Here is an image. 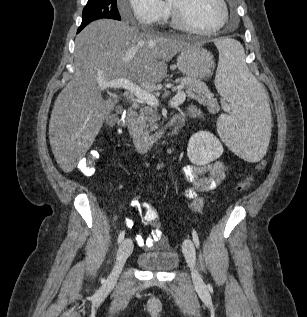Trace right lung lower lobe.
<instances>
[{
	"label": "right lung lower lobe",
	"instance_id": "1",
	"mask_svg": "<svg viewBox=\"0 0 307 317\" xmlns=\"http://www.w3.org/2000/svg\"><path fill=\"white\" fill-rule=\"evenodd\" d=\"M82 29H83L82 27H79L78 32H80Z\"/></svg>",
	"mask_w": 307,
	"mask_h": 317
}]
</instances>
